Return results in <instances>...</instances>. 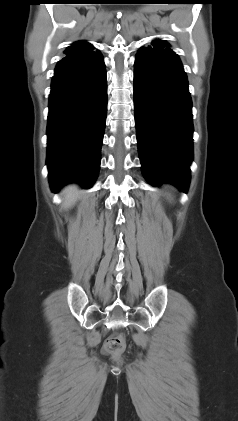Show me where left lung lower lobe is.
<instances>
[{
    "mask_svg": "<svg viewBox=\"0 0 238 421\" xmlns=\"http://www.w3.org/2000/svg\"><path fill=\"white\" fill-rule=\"evenodd\" d=\"M192 102L179 57L168 46L142 47L134 66V111L139 157L152 185L186 192L190 180Z\"/></svg>",
    "mask_w": 238,
    "mask_h": 421,
    "instance_id": "obj_1",
    "label": "left lung lower lobe"
}]
</instances>
